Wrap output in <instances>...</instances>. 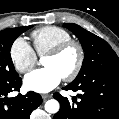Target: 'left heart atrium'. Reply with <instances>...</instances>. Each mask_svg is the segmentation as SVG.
<instances>
[{
  "label": "left heart atrium",
  "instance_id": "1",
  "mask_svg": "<svg viewBox=\"0 0 119 119\" xmlns=\"http://www.w3.org/2000/svg\"><path fill=\"white\" fill-rule=\"evenodd\" d=\"M62 78L56 69L45 67L34 70L26 75L24 78V86L30 91L47 93L57 87Z\"/></svg>",
  "mask_w": 119,
  "mask_h": 119
}]
</instances>
